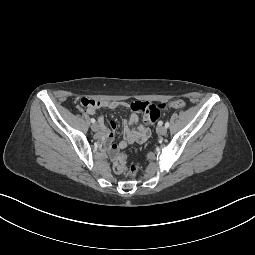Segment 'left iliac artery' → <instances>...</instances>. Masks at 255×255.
I'll list each match as a JSON object with an SVG mask.
<instances>
[{"mask_svg": "<svg viewBox=\"0 0 255 255\" xmlns=\"http://www.w3.org/2000/svg\"><path fill=\"white\" fill-rule=\"evenodd\" d=\"M165 127H166V128L169 127V122H168V121L165 123Z\"/></svg>", "mask_w": 255, "mask_h": 255, "instance_id": "44dca946", "label": "left iliac artery"}]
</instances>
